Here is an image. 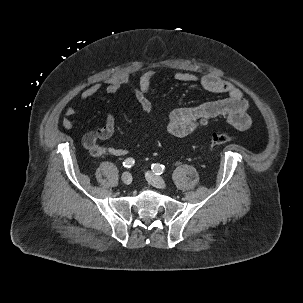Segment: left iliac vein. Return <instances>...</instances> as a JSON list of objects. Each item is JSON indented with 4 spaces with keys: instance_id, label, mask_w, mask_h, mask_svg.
<instances>
[{
    "instance_id": "obj_1",
    "label": "left iliac vein",
    "mask_w": 303,
    "mask_h": 303,
    "mask_svg": "<svg viewBox=\"0 0 303 303\" xmlns=\"http://www.w3.org/2000/svg\"><path fill=\"white\" fill-rule=\"evenodd\" d=\"M146 179L151 185H153L156 188L165 189L167 187L165 180L160 176H156L152 172L148 171L146 173Z\"/></svg>"
}]
</instances>
